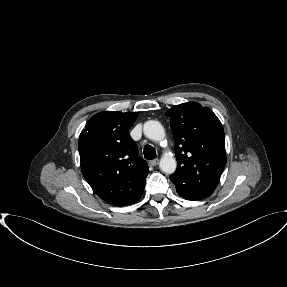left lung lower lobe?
<instances>
[{
  "instance_id": "obj_1",
  "label": "left lung lower lobe",
  "mask_w": 287,
  "mask_h": 287,
  "mask_svg": "<svg viewBox=\"0 0 287 287\" xmlns=\"http://www.w3.org/2000/svg\"><path fill=\"white\" fill-rule=\"evenodd\" d=\"M177 193L186 200H198L204 197H209L212 193L210 192H192L180 187H176Z\"/></svg>"
}]
</instances>
